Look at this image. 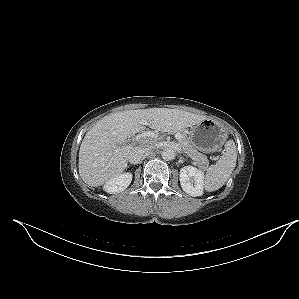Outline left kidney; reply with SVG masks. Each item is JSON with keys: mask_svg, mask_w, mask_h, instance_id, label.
Listing matches in <instances>:
<instances>
[{"mask_svg": "<svg viewBox=\"0 0 299 299\" xmlns=\"http://www.w3.org/2000/svg\"><path fill=\"white\" fill-rule=\"evenodd\" d=\"M180 184L187 194L192 197L201 196L203 194L204 173L203 171L193 167L185 166L180 169Z\"/></svg>", "mask_w": 299, "mask_h": 299, "instance_id": "5707ae66", "label": "left kidney"}]
</instances>
